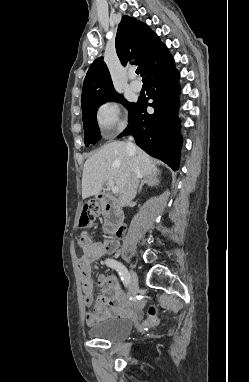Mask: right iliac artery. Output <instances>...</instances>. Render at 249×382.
I'll list each match as a JSON object with an SVG mask.
<instances>
[{
    "label": "right iliac artery",
    "instance_id": "right-iliac-artery-1",
    "mask_svg": "<svg viewBox=\"0 0 249 382\" xmlns=\"http://www.w3.org/2000/svg\"><path fill=\"white\" fill-rule=\"evenodd\" d=\"M105 263L108 267L115 269L119 273L124 285L128 286L130 281V275L125 266L122 263L110 258L106 259Z\"/></svg>",
    "mask_w": 249,
    "mask_h": 382
}]
</instances>
